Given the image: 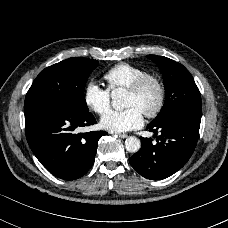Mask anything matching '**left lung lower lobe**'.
I'll use <instances>...</instances> for the list:
<instances>
[{
	"mask_svg": "<svg viewBox=\"0 0 228 228\" xmlns=\"http://www.w3.org/2000/svg\"><path fill=\"white\" fill-rule=\"evenodd\" d=\"M201 117L179 113L147 128L154 133L160 129L157 143L140 137L141 149L129 158L131 166L143 177L152 180L167 178L181 169L197 144ZM156 137V134H154Z\"/></svg>",
	"mask_w": 228,
	"mask_h": 228,
	"instance_id": "left-lung-lower-lobe-1",
	"label": "left lung lower lobe"
}]
</instances>
